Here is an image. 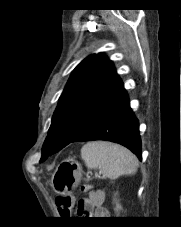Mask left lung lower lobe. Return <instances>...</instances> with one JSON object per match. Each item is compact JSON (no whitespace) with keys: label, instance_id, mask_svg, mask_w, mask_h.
<instances>
[{"label":"left lung lower lobe","instance_id":"left-lung-lower-lobe-1","mask_svg":"<svg viewBox=\"0 0 181 227\" xmlns=\"http://www.w3.org/2000/svg\"><path fill=\"white\" fill-rule=\"evenodd\" d=\"M106 140L130 149L141 160L138 120L121 85L92 114L82 132L72 142Z\"/></svg>","mask_w":181,"mask_h":227}]
</instances>
